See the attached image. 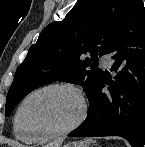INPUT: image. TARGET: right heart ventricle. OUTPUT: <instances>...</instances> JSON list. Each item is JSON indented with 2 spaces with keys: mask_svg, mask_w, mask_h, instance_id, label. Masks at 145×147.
<instances>
[{
  "mask_svg": "<svg viewBox=\"0 0 145 147\" xmlns=\"http://www.w3.org/2000/svg\"><path fill=\"white\" fill-rule=\"evenodd\" d=\"M14 134L16 136L17 139L23 141V142H34L36 140H34L31 135L21 131L19 129V127L16 124V121L14 120Z\"/></svg>",
  "mask_w": 145,
  "mask_h": 147,
  "instance_id": "right-heart-ventricle-1",
  "label": "right heart ventricle"
}]
</instances>
